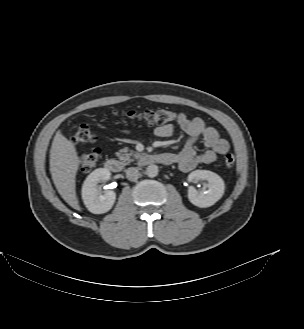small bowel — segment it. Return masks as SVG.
<instances>
[{"instance_id": "small-bowel-1", "label": "small bowel", "mask_w": 304, "mask_h": 329, "mask_svg": "<svg viewBox=\"0 0 304 329\" xmlns=\"http://www.w3.org/2000/svg\"><path fill=\"white\" fill-rule=\"evenodd\" d=\"M179 127L187 134L188 139L183 148L173 157V163L183 172H189L200 164H211L218 156L230 150L229 142L222 138L218 131L207 126L199 117L189 118L185 113H178L176 119ZM174 133V125L167 123L156 127L155 134L160 138H168ZM202 139L207 147L202 153L195 150V144Z\"/></svg>"}]
</instances>
